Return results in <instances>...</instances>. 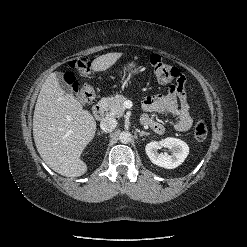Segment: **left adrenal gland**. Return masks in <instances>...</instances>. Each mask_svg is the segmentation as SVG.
Returning a JSON list of instances; mask_svg holds the SVG:
<instances>
[{
    "mask_svg": "<svg viewBox=\"0 0 247 247\" xmlns=\"http://www.w3.org/2000/svg\"><path fill=\"white\" fill-rule=\"evenodd\" d=\"M137 132L139 133V136L142 137L144 135H149V133L145 132V131H140V130H137Z\"/></svg>",
    "mask_w": 247,
    "mask_h": 247,
    "instance_id": "1",
    "label": "left adrenal gland"
}]
</instances>
